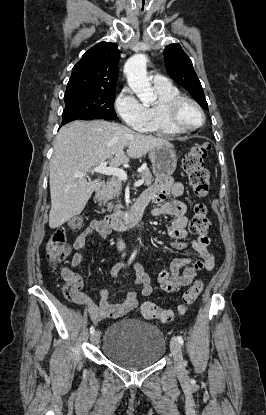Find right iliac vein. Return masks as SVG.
I'll use <instances>...</instances> for the list:
<instances>
[{
    "mask_svg": "<svg viewBox=\"0 0 266 415\" xmlns=\"http://www.w3.org/2000/svg\"><path fill=\"white\" fill-rule=\"evenodd\" d=\"M100 340V332L99 331H95L92 335H91V341L93 344H97Z\"/></svg>",
    "mask_w": 266,
    "mask_h": 415,
    "instance_id": "right-iliac-vein-1",
    "label": "right iliac vein"
}]
</instances>
